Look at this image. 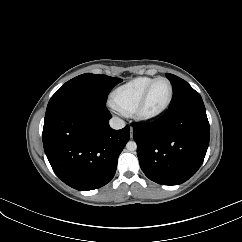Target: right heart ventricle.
Masks as SVG:
<instances>
[{"instance_id": "e07e8e85", "label": "right heart ventricle", "mask_w": 242, "mask_h": 242, "mask_svg": "<svg viewBox=\"0 0 242 242\" xmlns=\"http://www.w3.org/2000/svg\"><path fill=\"white\" fill-rule=\"evenodd\" d=\"M152 77H137L116 88L112 94L115 107L124 114H131Z\"/></svg>"}]
</instances>
